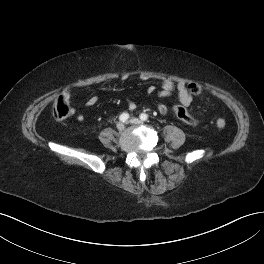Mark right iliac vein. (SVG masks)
Instances as JSON below:
<instances>
[{
	"label": "right iliac vein",
	"instance_id": "right-iliac-vein-1",
	"mask_svg": "<svg viewBox=\"0 0 264 264\" xmlns=\"http://www.w3.org/2000/svg\"><path fill=\"white\" fill-rule=\"evenodd\" d=\"M117 129L119 130V131H123L124 130V128H125V125L122 123V122H119L118 124H117Z\"/></svg>",
	"mask_w": 264,
	"mask_h": 264
}]
</instances>
